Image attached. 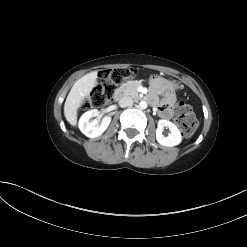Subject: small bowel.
Returning a JSON list of instances; mask_svg holds the SVG:
<instances>
[{"label": "small bowel", "instance_id": "small-bowel-1", "mask_svg": "<svg viewBox=\"0 0 247 247\" xmlns=\"http://www.w3.org/2000/svg\"><path fill=\"white\" fill-rule=\"evenodd\" d=\"M152 93L148 96L152 105L158 106L159 114L164 119L171 118L173 114V106L176 101L175 94L171 84L154 74L150 78ZM158 93H163V98L159 100Z\"/></svg>", "mask_w": 247, "mask_h": 247}]
</instances>
